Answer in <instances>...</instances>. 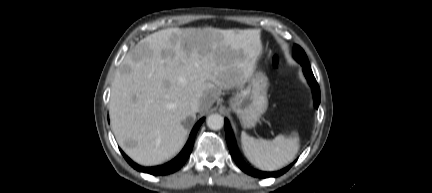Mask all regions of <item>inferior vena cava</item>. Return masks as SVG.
Wrapping results in <instances>:
<instances>
[{"instance_id":"602c4592","label":"inferior vena cava","mask_w":432,"mask_h":193,"mask_svg":"<svg viewBox=\"0 0 432 193\" xmlns=\"http://www.w3.org/2000/svg\"><path fill=\"white\" fill-rule=\"evenodd\" d=\"M190 107L192 111L198 112L200 109V100L199 99H193L190 103Z\"/></svg>"}]
</instances>
